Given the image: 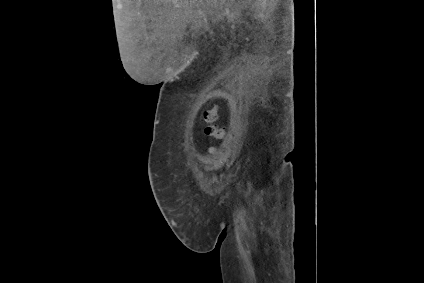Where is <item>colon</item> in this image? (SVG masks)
<instances>
[{
	"label": "colon",
	"mask_w": 424,
	"mask_h": 283,
	"mask_svg": "<svg viewBox=\"0 0 424 283\" xmlns=\"http://www.w3.org/2000/svg\"><path fill=\"white\" fill-rule=\"evenodd\" d=\"M218 118V109L217 107L211 106L210 108L206 109L203 113V121L205 122V133L209 137H211L214 141H221L223 140L225 136V129L223 127H220L216 121ZM215 150L214 146H210L208 148L209 153H213Z\"/></svg>",
	"instance_id": "1"
}]
</instances>
